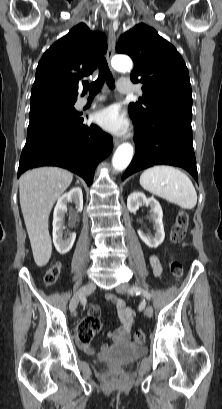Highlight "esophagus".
Instances as JSON below:
<instances>
[{
  "label": "esophagus",
  "mask_w": 222,
  "mask_h": 409,
  "mask_svg": "<svg viewBox=\"0 0 222 409\" xmlns=\"http://www.w3.org/2000/svg\"><path fill=\"white\" fill-rule=\"evenodd\" d=\"M117 30V23H110L109 24V29H108V50H107V60L110 64L111 59L113 57L114 51H115V44H116V35L115 32ZM114 146H118L120 141L118 139H114L113 141Z\"/></svg>",
  "instance_id": "esophagus-1"
}]
</instances>
